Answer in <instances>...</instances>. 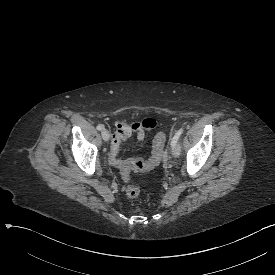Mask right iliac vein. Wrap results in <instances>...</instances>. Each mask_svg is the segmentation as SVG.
<instances>
[{
  "label": "right iliac vein",
  "mask_w": 275,
  "mask_h": 275,
  "mask_svg": "<svg viewBox=\"0 0 275 275\" xmlns=\"http://www.w3.org/2000/svg\"><path fill=\"white\" fill-rule=\"evenodd\" d=\"M101 134H102V138H103L104 141H109V139H110V133H109L108 130L103 129L102 132H101Z\"/></svg>",
  "instance_id": "1"
}]
</instances>
